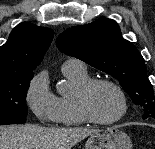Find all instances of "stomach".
<instances>
[{"label": "stomach", "instance_id": "0dacf381", "mask_svg": "<svg viewBox=\"0 0 155 149\" xmlns=\"http://www.w3.org/2000/svg\"><path fill=\"white\" fill-rule=\"evenodd\" d=\"M132 146L126 133L112 127L90 135L85 149H132Z\"/></svg>", "mask_w": 155, "mask_h": 149}]
</instances>
